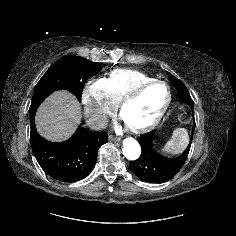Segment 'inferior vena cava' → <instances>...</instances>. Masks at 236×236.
<instances>
[{
  "label": "inferior vena cava",
  "mask_w": 236,
  "mask_h": 236,
  "mask_svg": "<svg viewBox=\"0 0 236 236\" xmlns=\"http://www.w3.org/2000/svg\"><path fill=\"white\" fill-rule=\"evenodd\" d=\"M107 122H108V120H107L106 116H99V117H96V118L90 120L89 125L92 129L102 130V129L106 128Z\"/></svg>",
  "instance_id": "602c4592"
}]
</instances>
